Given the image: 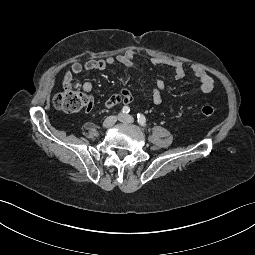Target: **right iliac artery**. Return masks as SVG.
Segmentation results:
<instances>
[{
	"instance_id": "1",
	"label": "right iliac artery",
	"mask_w": 255,
	"mask_h": 255,
	"mask_svg": "<svg viewBox=\"0 0 255 255\" xmlns=\"http://www.w3.org/2000/svg\"><path fill=\"white\" fill-rule=\"evenodd\" d=\"M122 112H123L124 114H128V113L130 112V108H129L128 106H124V107L122 108Z\"/></svg>"
}]
</instances>
